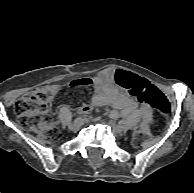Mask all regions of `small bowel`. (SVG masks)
<instances>
[{
    "label": "small bowel",
    "mask_w": 194,
    "mask_h": 193,
    "mask_svg": "<svg viewBox=\"0 0 194 193\" xmlns=\"http://www.w3.org/2000/svg\"><path fill=\"white\" fill-rule=\"evenodd\" d=\"M115 74V70L105 69L92 78L93 93L90 97L91 105H111L113 110L109 113V116L113 119L129 117L132 120H136L142 117L143 129H145L152 118V107L146 105L138 108L135 99L131 95L121 94L114 82ZM139 82L140 87H145V83L152 85L149 81L143 78H140ZM157 90L161 92L159 89ZM90 110V107L86 105L80 108V112L83 114H88Z\"/></svg>",
    "instance_id": "c3829d8e"
}]
</instances>
